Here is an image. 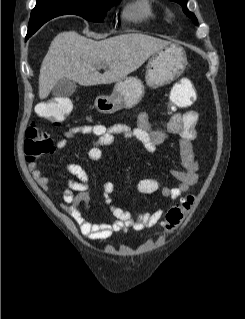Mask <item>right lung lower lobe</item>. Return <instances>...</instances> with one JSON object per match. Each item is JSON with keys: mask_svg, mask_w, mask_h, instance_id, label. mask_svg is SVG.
Returning a JSON list of instances; mask_svg holds the SVG:
<instances>
[{"mask_svg": "<svg viewBox=\"0 0 245 319\" xmlns=\"http://www.w3.org/2000/svg\"><path fill=\"white\" fill-rule=\"evenodd\" d=\"M32 34H29V33H27V36H26V38H29L30 36H31Z\"/></svg>", "mask_w": 245, "mask_h": 319, "instance_id": "98d812e1", "label": "right lung lower lobe"}]
</instances>
